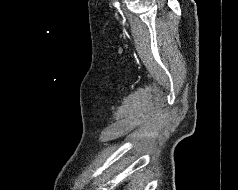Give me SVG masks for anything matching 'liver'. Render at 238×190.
<instances>
[{
	"label": "liver",
	"mask_w": 238,
	"mask_h": 190,
	"mask_svg": "<svg viewBox=\"0 0 238 190\" xmlns=\"http://www.w3.org/2000/svg\"><path fill=\"white\" fill-rule=\"evenodd\" d=\"M137 188H138V186H137V184L135 183V181H131V182L129 183L128 187H127V190H138Z\"/></svg>",
	"instance_id": "1"
}]
</instances>
